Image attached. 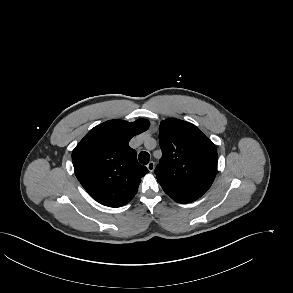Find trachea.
<instances>
[{
    "instance_id": "3493384b",
    "label": "trachea",
    "mask_w": 293,
    "mask_h": 293,
    "mask_svg": "<svg viewBox=\"0 0 293 293\" xmlns=\"http://www.w3.org/2000/svg\"><path fill=\"white\" fill-rule=\"evenodd\" d=\"M138 159H139L141 164H143V165L148 164L149 159H150L149 153L144 152V151L140 152L139 156H138Z\"/></svg>"
}]
</instances>
